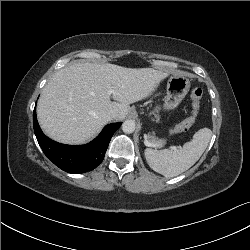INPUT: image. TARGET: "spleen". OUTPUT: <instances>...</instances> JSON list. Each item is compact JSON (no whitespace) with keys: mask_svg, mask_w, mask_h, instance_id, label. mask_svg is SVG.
<instances>
[{"mask_svg":"<svg viewBox=\"0 0 250 250\" xmlns=\"http://www.w3.org/2000/svg\"><path fill=\"white\" fill-rule=\"evenodd\" d=\"M212 131L202 128L193 139L176 149L154 150L147 148L145 158L149 166L165 177H175L192 167L204 153L211 139Z\"/></svg>","mask_w":250,"mask_h":250,"instance_id":"obj_1","label":"spleen"}]
</instances>
